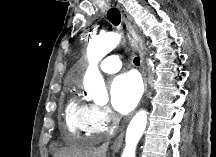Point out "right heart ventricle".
<instances>
[{
  "mask_svg": "<svg viewBox=\"0 0 216 157\" xmlns=\"http://www.w3.org/2000/svg\"><path fill=\"white\" fill-rule=\"evenodd\" d=\"M89 105L72 97L66 107L65 122L67 129L74 135H80L85 131L84 122Z\"/></svg>",
  "mask_w": 216,
  "mask_h": 157,
  "instance_id": "obj_1",
  "label": "right heart ventricle"
}]
</instances>
